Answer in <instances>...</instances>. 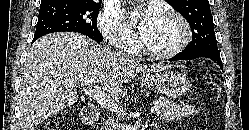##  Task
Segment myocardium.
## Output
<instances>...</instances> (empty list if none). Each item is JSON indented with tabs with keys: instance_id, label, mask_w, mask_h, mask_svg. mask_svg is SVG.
I'll return each instance as SVG.
<instances>
[{
	"instance_id": "obj_1",
	"label": "myocardium",
	"mask_w": 249,
	"mask_h": 130,
	"mask_svg": "<svg viewBox=\"0 0 249 130\" xmlns=\"http://www.w3.org/2000/svg\"><path fill=\"white\" fill-rule=\"evenodd\" d=\"M166 17H170L179 22L182 28V35L179 41L170 49L165 51H153L149 49L144 42L141 44V51L148 57L155 60L169 59L179 54L189 44L192 38V30L188 21L178 12L174 10H166L162 13Z\"/></svg>"
}]
</instances>
